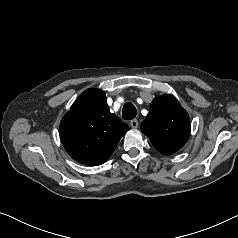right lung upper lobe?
<instances>
[{
	"mask_svg": "<svg viewBox=\"0 0 238 238\" xmlns=\"http://www.w3.org/2000/svg\"><path fill=\"white\" fill-rule=\"evenodd\" d=\"M129 130L111 113L105 93L99 89L84 91L60 123V139L68 154L86 165H101Z\"/></svg>",
	"mask_w": 238,
	"mask_h": 238,
	"instance_id": "obj_1",
	"label": "right lung upper lobe"
}]
</instances>
